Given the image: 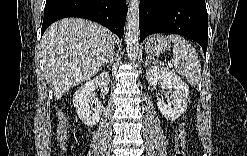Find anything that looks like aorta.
<instances>
[{"mask_svg":"<svg viewBox=\"0 0 247 156\" xmlns=\"http://www.w3.org/2000/svg\"><path fill=\"white\" fill-rule=\"evenodd\" d=\"M139 5V0H131L129 2L125 26V41L127 45V54L128 58L133 62L137 59L139 51Z\"/></svg>","mask_w":247,"mask_h":156,"instance_id":"aorta-1","label":"aorta"}]
</instances>
